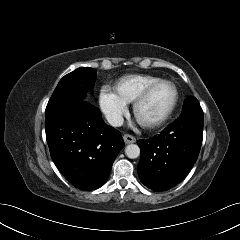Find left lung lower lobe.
<instances>
[{
  "label": "left lung lower lobe",
  "mask_w": 240,
  "mask_h": 240,
  "mask_svg": "<svg viewBox=\"0 0 240 240\" xmlns=\"http://www.w3.org/2000/svg\"><path fill=\"white\" fill-rule=\"evenodd\" d=\"M203 111L182 109L181 115L158 136L137 142L141 182L155 191H166L182 181L197 160L202 144Z\"/></svg>",
  "instance_id": "left-lung-lower-lobe-1"
}]
</instances>
